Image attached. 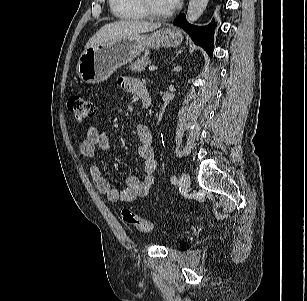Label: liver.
I'll return each instance as SVG.
<instances>
[{"label":"liver","mask_w":307,"mask_h":301,"mask_svg":"<svg viewBox=\"0 0 307 301\" xmlns=\"http://www.w3.org/2000/svg\"><path fill=\"white\" fill-rule=\"evenodd\" d=\"M160 26V23H150L139 20H125L108 23L89 39L86 43L85 49L97 44L110 43L124 37L150 32L158 29Z\"/></svg>","instance_id":"6515ba94"}]
</instances>
